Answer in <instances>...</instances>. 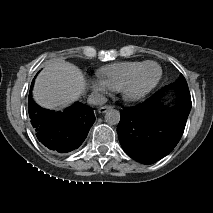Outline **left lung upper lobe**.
Here are the masks:
<instances>
[{"label":"left lung upper lobe","mask_w":213,"mask_h":213,"mask_svg":"<svg viewBox=\"0 0 213 213\" xmlns=\"http://www.w3.org/2000/svg\"><path fill=\"white\" fill-rule=\"evenodd\" d=\"M178 83L187 84L183 75L180 76V79H179Z\"/></svg>","instance_id":"left-lung-upper-lobe-1"}]
</instances>
